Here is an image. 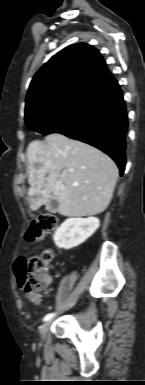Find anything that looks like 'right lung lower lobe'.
Segmentation results:
<instances>
[{
    "mask_svg": "<svg viewBox=\"0 0 145 385\" xmlns=\"http://www.w3.org/2000/svg\"><path fill=\"white\" fill-rule=\"evenodd\" d=\"M128 116L118 82L107 86L76 114L57 128L69 138L88 143L109 155L124 173Z\"/></svg>",
    "mask_w": 145,
    "mask_h": 385,
    "instance_id": "98d812e1",
    "label": "right lung lower lobe"
}]
</instances>
